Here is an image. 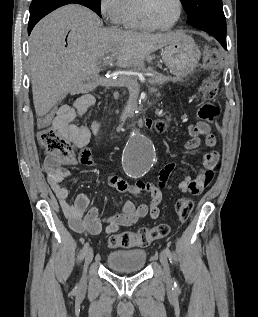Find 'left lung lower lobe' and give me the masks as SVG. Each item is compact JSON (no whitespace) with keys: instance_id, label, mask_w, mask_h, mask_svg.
<instances>
[{"instance_id":"obj_1","label":"left lung lower lobe","mask_w":258,"mask_h":317,"mask_svg":"<svg viewBox=\"0 0 258 317\" xmlns=\"http://www.w3.org/2000/svg\"><path fill=\"white\" fill-rule=\"evenodd\" d=\"M200 30H203L212 36H214L220 44L226 49V28L225 29H219V28H200Z\"/></svg>"}]
</instances>
